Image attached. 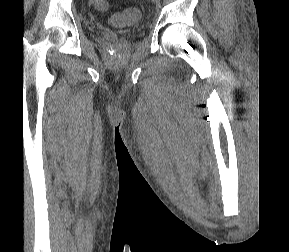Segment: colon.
I'll use <instances>...</instances> for the list:
<instances>
[{
  "label": "colon",
  "instance_id": "5ec220e1",
  "mask_svg": "<svg viewBox=\"0 0 289 252\" xmlns=\"http://www.w3.org/2000/svg\"><path fill=\"white\" fill-rule=\"evenodd\" d=\"M93 6L99 11H106L108 4L106 0H92ZM140 19V12L137 8H126L122 13L112 17L111 22L114 25H124L128 23H135Z\"/></svg>",
  "mask_w": 289,
  "mask_h": 252
}]
</instances>
